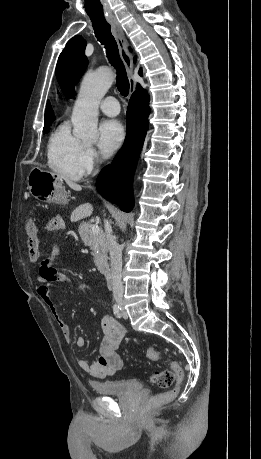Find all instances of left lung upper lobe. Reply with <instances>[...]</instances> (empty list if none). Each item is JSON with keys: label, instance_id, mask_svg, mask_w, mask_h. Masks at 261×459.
Instances as JSON below:
<instances>
[{"label": "left lung upper lobe", "instance_id": "obj_1", "mask_svg": "<svg viewBox=\"0 0 261 459\" xmlns=\"http://www.w3.org/2000/svg\"><path fill=\"white\" fill-rule=\"evenodd\" d=\"M84 41L75 36L68 41L60 54L56 67V77L62 92L71 98L76 84L87 66V57L84 55Z\"/></svg>", "mask_w": 261, "mask_h": 459}]
</instances>
